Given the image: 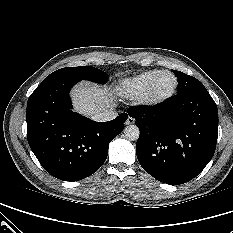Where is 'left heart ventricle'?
<instances>
[{"label": "left heart ventricle", "mask_w": 233, "mask_h": 233, "mask_svg": "<svg viewBox=\"0 0 233 233\" xmlns=\"http://www.w3.org/2000/svg\"><path fill=\"white\" fill-rule=\"evenodd\" d=\"M174 86V79L169 74H164L158 78L152 88V95L160 97L167 94Z\"/></svg>", "instance_id": "b2bd125f"}]
</instances>
